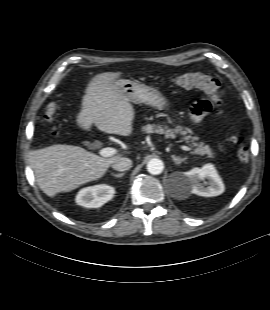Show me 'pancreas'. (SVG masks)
Here are the masks:
<instances>
[{
  "label": "pancreas",
  "instance_id": "1",
  "mask_svg": "<svg viewBox=\"0 0 270 310\" xmlns=\"http://www.w3.org/2000/svg\"><path fill=\"white\" fill-rule=\"evenodd\" d=\"M145 133H159L164 134L166 138H175L176 134H179L182 137L183 141L189 143L190 146L196 147L194 150V154H198L201 156H207L208 158H214V152L210 148L209 145H205L203 142L197 143L198 137H193L188 135V133H192V131L183 126H176L174 129H169L167 127L155 126L148 124L142 128Z\"/></svg>",
  "mask_w": 270,
  "mask_h": 310
}]
</instances>
